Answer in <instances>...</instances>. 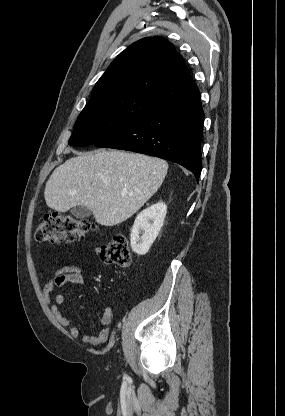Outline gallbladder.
Segmentation results:
<instances>
[{"instance_id": "bac80fb5", "label": "gallbladder", "mask_w": 285, "mask_h": 416, "mask_svg": "<svg viewBox=\"0 0 285 416\" xmlns=\"http://www.w3.org/2000/svg\"><path fill=\"white\" fill-rule=\"evenodd\" d=\"M71 214H73L75 218H78V220H83V218H89L92 212L91 210H88L86 206H77V208H72Z\"/></svg>"}]
</instances>
